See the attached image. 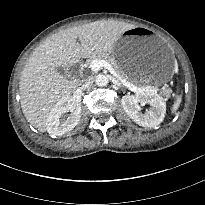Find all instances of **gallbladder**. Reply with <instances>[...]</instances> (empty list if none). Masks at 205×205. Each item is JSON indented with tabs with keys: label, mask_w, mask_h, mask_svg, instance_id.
Listing matches in <instances>:
<instances>
[{
	"label": "gallbladder",
	"mask_w": 205,
	"mask_h": 205,
	"mask_svg": "<svg viewBox=\"0 0 205 205\" xmlns=\"http://www.w3.org/2000/svg\"><path fill=\"white\" fill-rule=\"evenodd\" d=\"M56 71L59 72L60 74L65 75V76H68L69 74H71L70 71H66L63 67H57Z\"/></svg>",
	"instance_id": "1"
}]
</instances>
